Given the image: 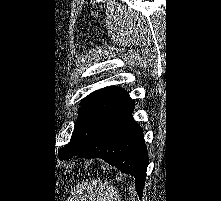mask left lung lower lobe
I'll return each instance as SVG.
<instances>
[{"label": "left lung lower lobe", "mask_w": 221, "mask_h": 201, "mask_svg": "<svg viewBox=\"0 0 221 201\" xmlns=\"http://www.w3.org/2000/svg\"><path fill=\"white\" fill-rule=\"evenodd\" d=\"M133 107L131 98L114 106L89 142L76 154L84 158L104 159L121 172L132 175L136 191L142 197L149 159L143 131L132 117Z\"/></svg>", "instance_id": "1"}]
</instances>
